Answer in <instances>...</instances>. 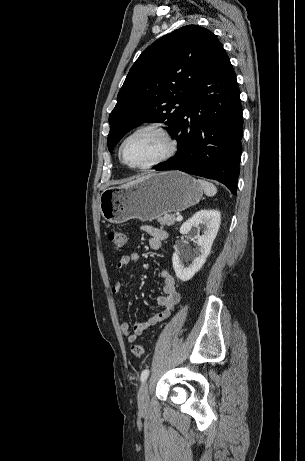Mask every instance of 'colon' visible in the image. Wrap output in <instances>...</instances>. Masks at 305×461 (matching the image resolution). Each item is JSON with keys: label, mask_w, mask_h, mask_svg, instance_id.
I'll use <instances>...</instances> for the list:
<instances>
[{"label": "colon", "mask_w": 305, "mask_h": 461, "mask_svg": "<svg viewBox=\"0 0 305 461\" xmlns=\"http://www.w3.org/2000/svg\"><path fill=\"white\" fill-rule=\"evenodd\" d=\"M108 238L117 252H122L125 249L127 244V235L125 233L112 230L109 232ZM131 352L135 358H141L144 350L141 345L135 344L132 346Z\"/></svg>", "instance_id": "5ec220e1"}]
</instances>
